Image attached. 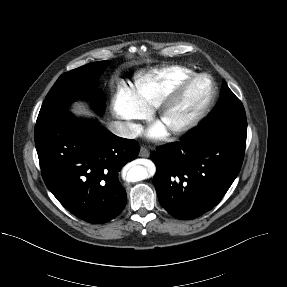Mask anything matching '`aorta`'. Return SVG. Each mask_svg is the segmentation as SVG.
<instances>
[{
	"instance_id": "1",
	"label": "aorta",
	"mask_w": 287,
	"mask_h": 287,
	"mask_svg": "<svg viewBox=\"0 0 287 287\" xmlns=\"http://www.w3.org/2000/svg\"><path fill=\"white\" fill-rule=\"evenodd\" d=\"M153 171V167L150 165L145 166H134L127 172V180L131 182H137L147 179Z\"/></svg>"
}]
</instances>
